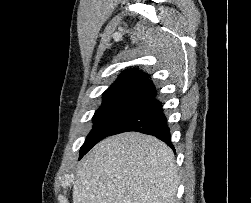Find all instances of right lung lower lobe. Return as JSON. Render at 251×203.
Instances as JSON below:
<instances>
[{
	"mask_svg": "<svg viewBox=\"0 0 251 203\" xmlns=\"http://www.w3.org/2000/svg\"><path fill=\"white\" fill-rule=\"evenodd\" d=\"M128 131H137L155 136L175 150L171 143L170 130L167 126V120L161 105H158L150 110L143 111L124 122L117 129H115L111 135Z\"/></svg>",
	"mask_w": 251,
	"mask_h": 203,
	"instance_id": "right-lung-lower-lobe-1",
	"label": "right lung lower lobe"
}]
</instances>
